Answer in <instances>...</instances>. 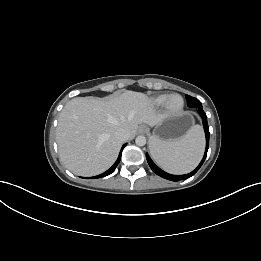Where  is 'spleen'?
I'll use <instances>...</instances> for the list:
<instances>
[{"label": "spleen", "instance_id": "spleen-1", "mask_svg": "<svg viewBox=\"0 0 261 261\" xmlns=\"http://www.w3.org/2000/svg\"><path fill=\"white\" fill-rule=\"evenodd\" d=\"M204 144L201 126L194 125L176 140L161 141L151 138L150 153L165 171L184 174L197 166L204 151Z\"/></svg>", "mask_w": 261, "mask_h": 261}]
</instances>
